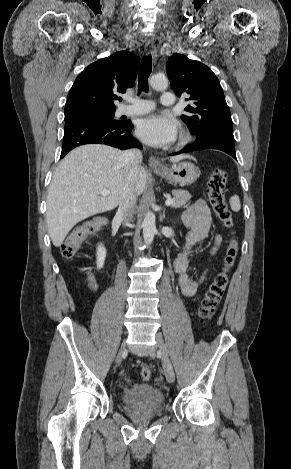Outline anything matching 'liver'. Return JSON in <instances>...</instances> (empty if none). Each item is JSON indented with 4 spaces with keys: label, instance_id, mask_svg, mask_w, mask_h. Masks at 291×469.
I'll use <instances>...</instances> for the list:
<instances>
[{
    "label": "liver",
    "instance_id": "obj_1",
    "mask_svg": "<svg viewBox=\"0 0 291 469\" xmlns=\"http://www.w3.org/2000/svg\"><path fill=\"white\" fill-rule=\"evenodd\" d=\"M122 155L110 146L89 144L74 149L60 162L49 187L46 212L55 247L61 246L78 222L118 206L128 180ZM187 157L173 156L170 162ZM147 179L146 169L140 166L132 182L138 195L144 192ZM104 190H109V195H102Z\"/></svg>",
    "mask_w": 291,
    "mask_h": 469
}]
</instances>
